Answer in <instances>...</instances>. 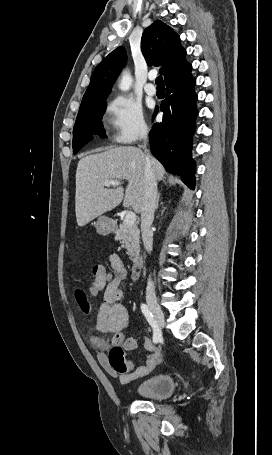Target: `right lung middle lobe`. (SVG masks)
I'll return each mask as SVG.
<instances>
[{"mask_svg":"<svg viewBox=\"0 0 272 455\" xmlns=\"http://www.w3.org/2000/svg\"><path fill=\"white\" fill-rule=\"evenodd\" d=\"M106 102L93 108L80 111L73 129V153L76 154L85 144L93 139L94 134L105 137L102 117Z\"/></svg>","mask_w":272,"mask_h":455,"instance_id":"dd1d6c3e","label":"right lung middle lobe"}]
</instances>
